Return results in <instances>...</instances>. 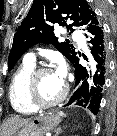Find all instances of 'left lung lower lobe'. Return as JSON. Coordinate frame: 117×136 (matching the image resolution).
Segmentation results:
<instances>
[{"mask_svg": "<svg viewBox=\"0 0 117 136\" xmlns=\"http://www.w3.org/2000/svg\"><path fill=\"white\" fill-rule=\"evenodd\" d=\"M86 36L90 39L94 64L91 69H86L79 64L77 57L72 59L79 87L65 106L79 105L96 115L108 69V45L101 25L92 29Z\"/></svg>", "mask_w": 117, "mask_h": 136, "instance_id": "obj_1", "label": "left lung lower lobe"}]
</instances>
